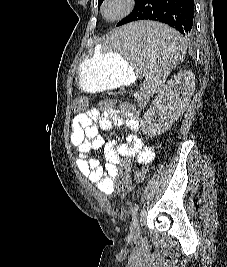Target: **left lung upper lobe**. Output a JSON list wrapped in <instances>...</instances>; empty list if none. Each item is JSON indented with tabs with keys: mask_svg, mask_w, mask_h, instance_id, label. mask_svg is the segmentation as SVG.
Here are the masks:
<instances>
[{
	"mask_svg": "<svg viewBox=\"0 0 227 267\" xmlns=\"http://www.w3.org/2000/svg\"><path fill=\"white\" fill-rule=\"evenodd\" d=\"M103 0H98V6L102 4Z\"/></svg>",
	"mask_w": 227,
	"mask_h": 267,
	"instance_id": "5c2ea615",
	"label": "left lung upper lobe"
}]
</instances>
